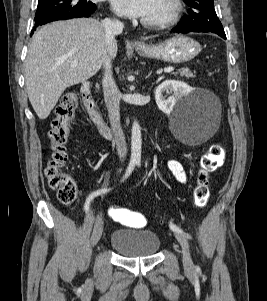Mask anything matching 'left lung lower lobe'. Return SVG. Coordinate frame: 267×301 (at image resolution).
<instances>
[{"instance_id": "1", "label": "left lung lower lobe", "mask_w": 267, "mask_h": 301, "mask_svg": "<svg viewBox=\"0 0 267 301\" xmlns=\"http://www.w3.org/2000/svg\"><path fill=\"white\" fill-rule=\"evenodd\" d=\"M173 32H177V33H189V32H209L206 29H202V28H195V27H188V26H178L172 29ZM220 37L226 39V35L224 34H218Z\"/></svg>"}]
</instances>
